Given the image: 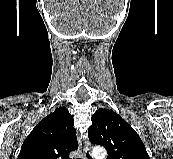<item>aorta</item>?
Returning <instances> with one entry per match:
<instances>
[{"label":"aorta","mask_w":173,"mask_h":159,"mask_svg":"<svg viewBox=\"0 0 173 159\" xmlns=\"http://www.w3.org/2000/svg\"><path fill=\"white\" fill-rule=\"evenodd\" d=\"M92 154L95 159H105L107 153L103 147H95Z\"/></svg>","instance_id":"762f6f07"}]
</instances>
